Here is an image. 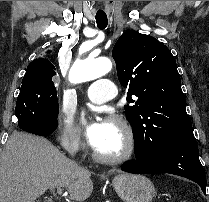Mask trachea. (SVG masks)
Returning a JSON list of instances; mask_svg holds the SVG:
<instances>
[{
    "instance_id": "3493384b",
    "label": "trachea",
    "mask_w": 209,
    "mask_h": 202,
    "mask_svg": "<svg viewBox=\"0 0 209 202\" xmlns=\"http://www.w3.org/2000/svg\"><path fill=\"white\" fill-rule=\"evenodd\" d=\"M95 19L99 29H105L107 27L108 20L106 15L97 14Z\"/></svg>"
}]
</instances>
